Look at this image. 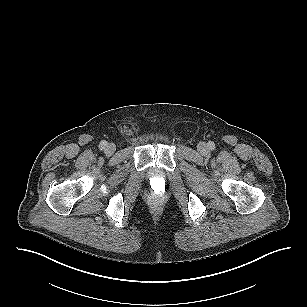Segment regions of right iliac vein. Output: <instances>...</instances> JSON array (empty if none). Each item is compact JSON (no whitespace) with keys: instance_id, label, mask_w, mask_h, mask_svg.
Wrapping results in <instances>:
<instances>
[{"instance_id":"right-iliac-vein-1","label":"right iliac vein","mask_w":307,"mask_h":307,"mask_svg":"<svg viewBox=\"0 0 307 307\" xmlns=\"http://www.w3.org/2000/svg\"><path fill=\"white\" fill-rule=\"evenodd\" d=\"M116 151V145L114 143H108L105 146V153L107 155H112Z\"/></svg>"}]
</instances>
